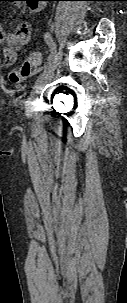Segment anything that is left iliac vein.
<instances>
[{"label":"left iliac vein","mask_w":127,"mask_h":303,"mask_svg":"<svg viewBox=\"0 0 127 303\" xmlns=\"http://www.w3.org/2000/svg\"><path fill=\"white\" fill-rule=\"evenodd\" d=\"M60 64H61V54L57 53L54 65L51 66L49 69L43 71V73L40 75V77L36 81V84H35V87L33 88L31 97L29 98V100L27 101L26 106H25L27 115H31V113H32V99L41 92V90L43 89V87L45 85H47L52 80L54 71Z\"/></svg>","instance_id":"obj_1"}]
</instances>
